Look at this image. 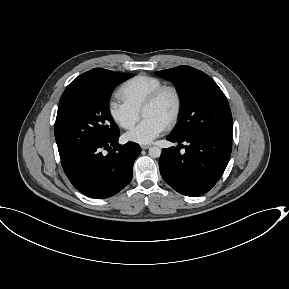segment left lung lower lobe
Returning a JSON list of instances; mask_svg holds the SVG:
<instances>
[{
    "mask_svg": "<svg viewBox=\"0 0 289 289\" xmlns=\"http://www.w3.org/2000/svg\"><path fill=\"white\" fill-rule=\"evenodd\" d=\"M171 142H186L185 153L170 147L162 150L159 168L164 180L177 192L199 196L209 191L222 176L230 159L232 142L225 136L194 134L177 137Z\"/></svg>",
    "mask_w": 289,
    "mask_h": 289,
    "instance_id": "obj_1",
    "label": "left lung lower lobe"
}]
</instances>
